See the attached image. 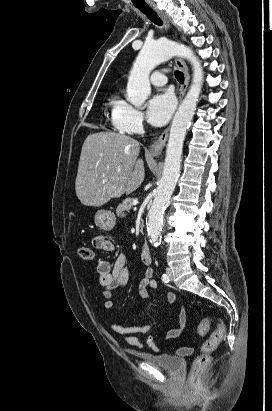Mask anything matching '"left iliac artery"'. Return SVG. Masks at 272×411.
<instances>
[{"label":"left iliac artery","instance_id":"left-iliac-artery-1","mask_svg":"<svg viewBox=\"0 0 272 411\" xmlns=\"http://www.w3.org/2000/svg\"><path fill=\"white\" fill-rule=\"evenodd\" d=\"M162 280H163V282H165V283H168V282H169V278H168L167 274H163V275H162Z\"/></svg>","mask_w":272,"mask_h":411}]
</instances>
